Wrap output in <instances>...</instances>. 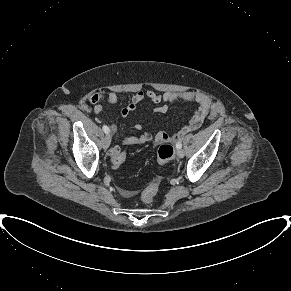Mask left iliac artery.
<instances>
[{"label":"left iliac artery","instance_id":"44dca946","mask_svg":"<svg viewBox=\"0 0 291 291\" xmlns=\"http://www.w3.org/2000/svg\"><path fill=\"white\" fill-rule=\"evenodd\" d=\"M182 147V143L181 142H178L177 144H176V148L177 149H180Z\"/></svg>","mask_w":291,"mask_h":291}]
</instances>
